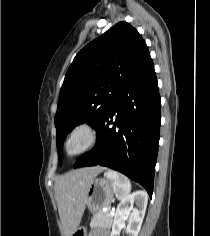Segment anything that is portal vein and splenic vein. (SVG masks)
<instances>
[{
  "mask_svg": "<svg viewBox=\"0 0 210 236\" xmlns=\"http://www.w3.org/2000/svg\"><path fill=\"white\" fill-rule=\"evenodd\" d=\"M110 214L113 216V214H114V211L112 210V211L110 212Z\"/></svg>",
  "mask_w": 210,
  "mask_h": 236,
  "instance_id": "obj_1",
  "label": "portal vein and splenic vein"
}]
</instances>
